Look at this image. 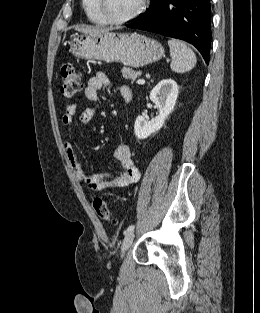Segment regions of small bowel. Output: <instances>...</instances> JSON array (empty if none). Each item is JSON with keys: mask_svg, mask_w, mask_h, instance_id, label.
Returning <instances> with one entry per match:
<instances>
[{"mask_svg": "<svg viewBox=\"0 0 260 313\" xmlns=\"http://www.w3.org/2000/svg\"><path fill=\"white\" fill-rule=\"evenodd\" d=\"M110 85V80L105 73H97L91 77L85 89V96L91 102H96L99 98V92L102 88ZM121 99L125 103L132 100V91L128 86H122L119 89ZM77 106L75 104L67 105L62 116L64 125L72 124ZM95 116L94 107H87L80 114V122L87 125L92 122ZM64 151L66 158L73 170L77 180L86 188L92 191H105L109 189L125 187L135 184L140 178V171L136 166L130 147L127 144H119L114 149V157L121 164V170L118 173L89 174L80 165L77 153L73 143L69 140L64 142Z\"/></svg>", "mask_w": 260, "mask_h": 313, "instance_id": "obj_1", "label": "small bowel"}]
</instances>
